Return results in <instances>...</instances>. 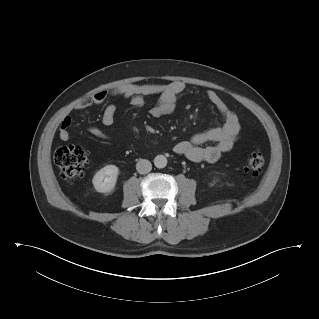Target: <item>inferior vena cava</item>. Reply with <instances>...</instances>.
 I'll list each match as a JSON object with an SVG mask.
<instances>
[{"instance_id": "602c4592", "label": "inferior vena cava", "mask_w": 319, "mask_h": 319, "mask_svg": "<svg viewBox=\"0 0 319 319\" xmlns=\"http://www.w3.org/2000/svg\"><path fill=\"white\" fill-rule=\"evenodd\" d=\"M136 169L138 173L140 174H147L152 169V164L149 160L146 159H140L138 163L136 164Z\"/></svg>"}]
</instances>
